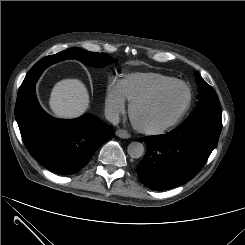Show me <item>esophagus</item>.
Segmentation results:
<instances>
[{"label":"esophagus","instance_id":"1","mask_svg":"<svg viewBox=\"0 0 245 245\" xmlns=\"http://www.w3.org/2000/svg\"><path fill=\"white\" fill-rule=\"evenodd\" d=\"M115 134L116 136L123 138V139H128L131 137V135L124 129H117Z\"/></svg>","mask_w":245,"mask_h":245}]
</instances>
